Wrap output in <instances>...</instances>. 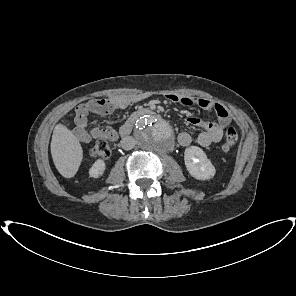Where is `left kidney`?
Segmentation results:
<instances>
[{
	"label": "left kidney",
	"instance_id": "left-kidney-1",
	"mask_svg": "<svg viewBox=\"0 0 296 296\" xmlns=\"http://www.w3.org/2000/svg\"><path fill=\"white\" fill-rule=\"evenodd\" d=\"M184 161L189 174L198 180H208L215 175V167L205 152L197 146L185 149Z\"/></svg>",
	"mask_w": 296,
	"mask_h": 296
}]
</instances>
